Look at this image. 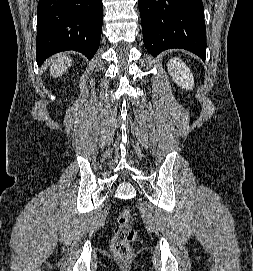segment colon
<instances>
[{"label":"colon","mask_w":253,"mask_h":271,"mask_svg":"<svg viewBox=\"0 0 253 271\" xmlns=\"http://www.w3.org/2000/svg\"><path fill=\"white\" fill-rule=\"evenodd\" d=\"M132 218V212L129 209H123L119 212L117 226L111 241L113 252L122 259L131 256V243L137 238V232L131 227Z\"/></svg>","instance_id":"5ec220e1"}]
</instances>
